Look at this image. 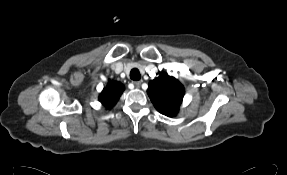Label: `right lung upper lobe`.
Listing matches in <instances>:
<instances>
[{
  "mask_svg": "<svg viewBox=\"0 0 287 175\" xmlns=\"http://www.w3.org/2000/svg\"><path fill=\"white\" fill-rule=\"evenodd\" d=\"M123 90L124 86L120 82L109 81L107 87L100 94L99 100L104 106L111 108L119 100Z\"/></svg>",
  "mask_w": 287,
  "mask_h": 175,
  "instance_id": "obj_1",
  "label": "right lung upper lobe"
}]
</instances>
